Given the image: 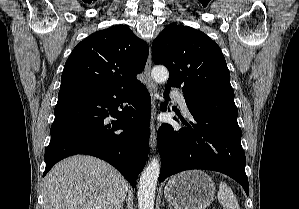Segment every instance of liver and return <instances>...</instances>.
<instances>
[{
    "instance_id": "obj_1",
    "label": "liver",
    "mask_w": 299,
    "mask_h": 209,
    "mask_svg": "<svg viewBox=\"0 0 299 209\" xmlns=\"http://www.w3.org/2000/svg\"><path fill=\"white\" fill-rule=\"evenodd\" d=\"M127 181L111 165L75 155L56 164L44 179V209H120Z\"/></svg>"
}]
</instances>
